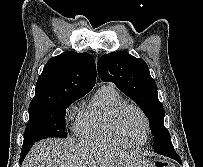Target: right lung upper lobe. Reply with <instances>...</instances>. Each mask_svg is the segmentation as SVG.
<instances>
[{
  "instance_id": "cb5924a9",
  "label": "right lung upper lobe",
  "mask_w": 203,
  "mask_h": 167,
  "mask_svg": "<svg viewBox=\"0 0 203 167\" xmlns=\"http://www.w3.org/2000/svg\"><path fill=\"white\" fill-rule=\"evenodd\" d=\"M95 80V61L91 55L86 52H64L49 59L44 66L30 106L82 97L94 87Z\"/></svg>"
}]
</instances>
